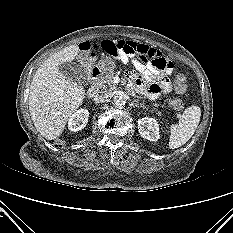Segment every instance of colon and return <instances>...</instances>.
Wrapping results in <instances>:
<instances>
[{"instance_id": "colon-1", "label": "colon", "mask_w": 233, "mask_h": 233, "mask_svg": "<svg viewBox=\"0 0 233 233\" xmlns=\"http://www.w3.org/2000/svg\"><path fill=\"white\" fill-rule=\"evenodd\" d=\"M187 77L183 73H178L173 78V88L178 94H183L187 90ZM170 105L178 112L184 110V103L180 99H172Z\"/></svg>"}]
</instances>
